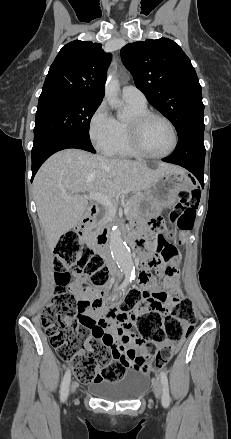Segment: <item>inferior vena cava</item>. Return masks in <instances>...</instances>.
<instances>
[{"instance_id": "obj_1", "label": "inferior vena cava", "mask_w": 231, "mask_h": 439, "mask_svg": "<svg viewBox=\"0 0 231 439\" xmlns=\"http://www.w3.org/2000/svg\"><path fill=\"white\" fill-rule=\"evenodd\" d=\"M109 269H110V271L112 272V273H115L116 272V267H115V265L113 264V263H109Z\"/></svg>"}]
</instances>
